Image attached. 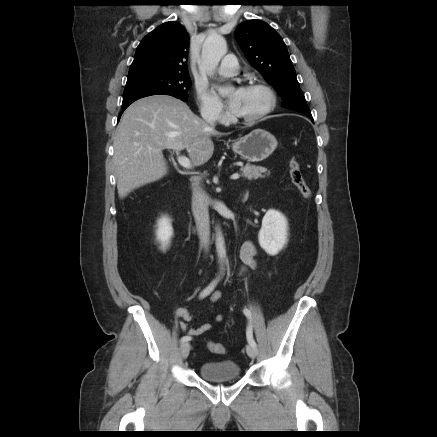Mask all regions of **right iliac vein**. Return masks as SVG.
<instances>
[{
    "instance_id": "right-iliac-vein-1",
    "label": "right iliac vein",
    "mask_w": 437,
    "mask_h": 437,
    "mask_svg": "<svg viewBox=\"0 0 437 437\" xmlns=\"http://www.w3.org/2000/svg\"><path fill=\"white\" fill-rule=\"evenodd\" d=\"M190 344L188 342H184L180 346V355L182 359H186L190 352Z\"/></svg>"
}]
</instances>
